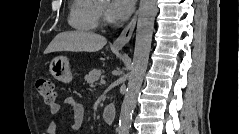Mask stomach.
Here are the masks:
<instances>
[{
	"label": "stomach",
	"instance_id": "1",
	"mask_svg": "<svg viewBox=\"0 0 239 134\" xmlns=\"http://www.w3.org/2000/svg\"><path fill=\"white\" fill-rule=\"evenodd\" d=\"M49 71L55 79L64 83L70 82L73 78L69 61L64 56L53 58L49 65Z\"/></svg>",
	"mask_w": 239,
	"mask_h": 134
}]
</instances>
